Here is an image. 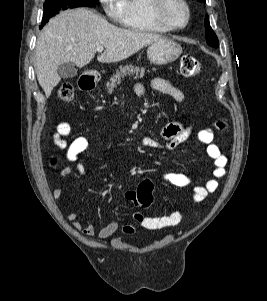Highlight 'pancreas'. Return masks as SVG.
<instances>
[{"label":"pancreas","instance_id":"pancreas-1","mask_svg":"<svg viewBox=\"0 0 267 301\" xmlns=\"http://www.w3.org/2000/svg\"><path fill=\"white\" fill-rule=\"evenodd\" d=\"M127 75H135V78L143 77L145 75V68L133 65H125L119 67V70L111 77L110 82L106 84V88L109 92H112L117 84H120L121 81Z\"/></svg>","mask_w":267,"mask_h":301}]
</instances>
